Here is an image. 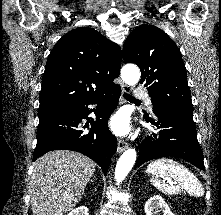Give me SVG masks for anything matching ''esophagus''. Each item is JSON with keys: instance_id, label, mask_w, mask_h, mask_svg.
<instances>
[{"instance_id": "34e87169", "label": "esophagus", "mask_w": 221, "mask_h": 215, "mask_svg": "<svg viewBox=\"0 0 221 215\" xmlns=\"http://www.w3.org/2000/svg\"><path fill=\"white\" fill-rule=\"evenodd\" d=\"M121 89H122L123 93L130 92V88L127 85H125L124 83L121 84ZM127 147H128L127 142H125L124 140H121V139L118 140V147H117L118 153H122Z\"/></svg>"}]
</instances>
